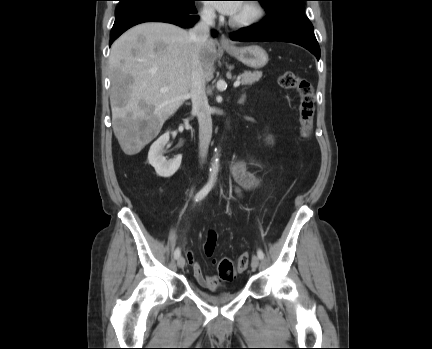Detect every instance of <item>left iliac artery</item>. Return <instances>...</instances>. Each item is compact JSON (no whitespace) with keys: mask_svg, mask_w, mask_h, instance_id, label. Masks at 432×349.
<instances>
[{"mask_svg":"<svg viewBox=\"0 0 432 349\" xmlns=\"http://www.w3.org/2000/svg\"><path fill=\"white\" fill-rule=\"evenodd\" d=\"M257 255H258L259 259H263L264 258V253H263V251L261 249H258Z\"/></svg>","mask_w":432,"mask_h":349,"instance_id":"1","label":"left iliac artery"}]
</instances>
